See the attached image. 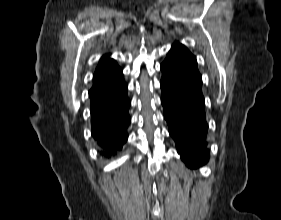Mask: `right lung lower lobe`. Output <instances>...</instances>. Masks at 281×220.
I'll return each mask as SVG.
<instances>
[{
    "mask_svg": "<svg viewBox=\"0 0 281 220\" xmlns=\"http://www.w3.org/2000/svg\"><path fill=\"white\" fill-rule=\"evenodd\" d=\"M89 97L92 136L100 147V154L115 155L128 138L130 101L127 84L122 80L113 86L91 89Z\"/></svg>",
    "mask_w": 281,
    "mask_h": 220,
    "instance_id": "1",
    "label": "right lung lower lobe"
}]
</instances>
